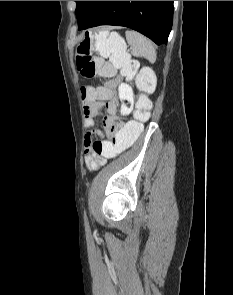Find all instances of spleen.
<instances>
[{"instance_id":"spleen-1","label":"spleen","mask_w":233,"mask_h":295,"mask_svg":"<svg viewBox=\"0 0 233 295\" xmlns=\"http://www.w3.org/2000/svg\"><path fill=\"white\" fill-rule=\"evenodd\" d=\"M126 40L132 48V55L145 57L151 63L156 60V51L152 42L133 30L126 31ZM97 46L103 57H109L114 66H123V59L126 55V43L117 32H101L97 37Z\"/></svg>"}]
</instances>
